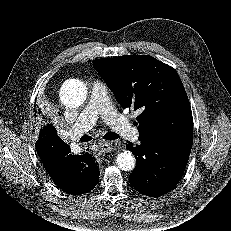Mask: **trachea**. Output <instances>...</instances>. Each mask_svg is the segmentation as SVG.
<instances>
[{
  "label": "trachea",
  "mask_w": 231,
  "mask_h": 231,
  "mask_svg": "<svg viewBox=\"0 0 231 231\" xmlns=\"http://www.w3.org/2000/svg\"><path fill=\"white\" fill-rule=\"evenodd\" d=\"M120 136L114 132H108L106 133L104 136H103V139H106V140H115V139H118ZM92 138L88 135H85L83 137H81L80 141L81 142H88L90 141Z\"/></svg>",
  "instance_id": "3493384b"
}]
</instances>
